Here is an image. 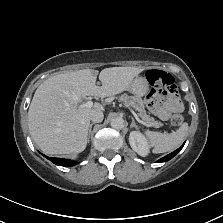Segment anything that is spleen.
I'll use <instances>...</instances> for the list:
<instances>
[{"instance_id": "3e777b00", "label": "spleen", "mask_w": 223, "mask_h": 223, "mask_svg": "<svg viewBox=\"0 0 223 223\" xmlns=\"http://www.w3.org/2000/svg\"><path fill=\"white\" fill-rule=\"evenodd\" d=\"M187 130L188 124L184 123L179 130L171 134L150 133L151 143L156 147L154 153H165L175 150L184 141Z\"/></svg>"}]
</instances>
